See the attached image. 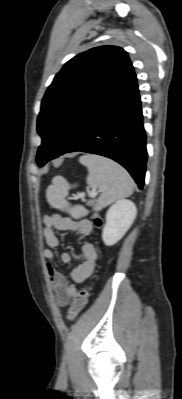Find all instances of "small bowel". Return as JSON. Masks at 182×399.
I'll return each mask as SVG.
<instances>
[{"mask_svg": "<svg viewBox=\"0 0 182 399\" xmlns=\"http://www.w3.org/2000/svg\"><path fill=\"white\" fill-rule=\"evenodd\" d=\"M92 230L93 224L87 219L75 220L58 213L44 216L42 235L47 247L44 248L42 255L46 260V271L51 290L60 306L67 305L69 300L76 295V283L83 282L91 276L96 265L98 253L94 244H83L82 253L84 259L77 263L71 272V280H68L53 264L55 260L53 250L61 246V241L56 233L70 232L89 235ZM60 261L62 263H70L73 261V256L69 252H62Z\"/></svg>", "mask_w": 182, "mask_h": 399, "instance_id": "small-bowel-1", "label": "small bowel"}]
</instances>
